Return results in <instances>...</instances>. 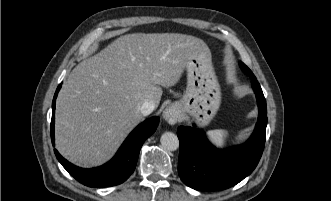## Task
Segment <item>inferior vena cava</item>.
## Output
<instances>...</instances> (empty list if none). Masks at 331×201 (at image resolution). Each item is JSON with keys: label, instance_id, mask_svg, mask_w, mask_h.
Returning <instances> with one entry per match:
<instances>
[{"label": "inferior vena cava", "instance_id": "inferior-vena-cava-1", "mask_svg": "<svg viewBox=\"0 0 331 201\" xmlns=\"http://www.w3.org/2000/svg\"><path fill=\"white\" fill-rule=\"evenodd\" d=\"M155 109V104L150 100H145L140 108L143 116H147L153 112Z\"/></svg>", "mask_w": 331, "mask_h": 201}]
</instances>
